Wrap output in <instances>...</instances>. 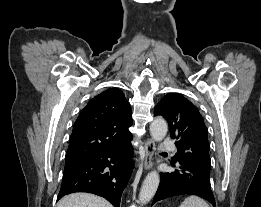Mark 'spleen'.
<instances>
[{
  "label": "spleen",
  "instance_id": "1",
  "mask_svg": "<svg viewBox=\"0 0 261 207\" xmlns=\"http://www.w3.org/2000/svg\"><path fill=\"white\" fill-rule=\"evenodd\" d=\"M179 207H209V205L197 196L187 197Z\"/></svg>",
  "mask_w": 261,
  "mask_h": 207
}]
</instances>
